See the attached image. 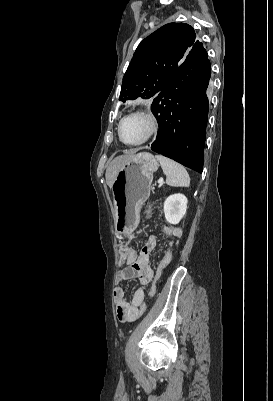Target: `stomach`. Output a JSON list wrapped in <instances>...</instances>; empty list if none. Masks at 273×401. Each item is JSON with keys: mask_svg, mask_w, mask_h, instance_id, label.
I'll return each instance as SVG.
<instances>
[{"mask_svg": "<svg viewBox=\"0 0 273 401\" xmlns=\"http://www.w3.org/2000/svg\"><path fill=\"white\" fill-rule=\"evenodd\" d=\"M158 166L151 152H140L136 160H129L118 170L112 186L116 235H131L137 229Z\"/></svg>", "mask_w": 273, "mask_h": 401, "instance_id": "0dacf381", "label": "stomach"}]
</instances>
